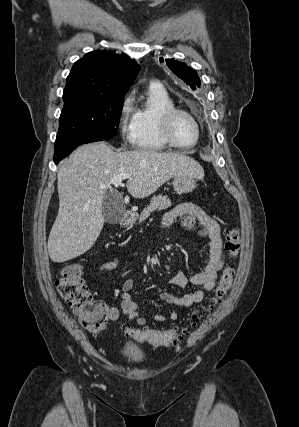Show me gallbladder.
Here are the masks:
<instances>
[{
  "label": "gallbladder",
  "mask_w": 299,
  "mask_h": 427,
  "mask_svg": "<svg viewBox=\"0 0 299 427\" xmlns=\"http://www.w3.org/2000/svg\"><path fill=\"white\" fill-rule=\"evenodd\" d=\"M102 214L105 222L109 224L120 223L125 215L123 196L116 191L108 192L102 203Z\"/></svg>",
  "instance_id": "bac80fb5"
}]
</instances>
